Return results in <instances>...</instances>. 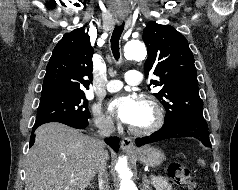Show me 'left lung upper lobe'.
I'll list each match as a JSON object with an SVG mask.
<instances>
[{
  "label": "left lung upper lobe",
  "mask_w": 238,
  "mask_h": 190,
  "mask_svg": "<svg viewBox=\"0 0 238 190\" xmlns=\"http://www.w3.org/2000/svg\"><path fill=\"white\" fill-rule=\"evenodd\" d=\"M143 41L148 48L145 75L160 78L150 85L162 87L154 96L166 109L164 123L185 113H203L194 57L186 38L172 26L151 21L143 31Z\"/></svg>",
  "instance_id": "1"
}]
</instances>
